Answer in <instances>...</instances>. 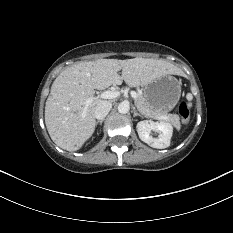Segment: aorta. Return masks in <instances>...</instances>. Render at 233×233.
I'll use <instances>...</instances> for the list:
<instances>
[{
  "mask_svg": "<svg viewBox=\"0 0 233 233\" xmlns=\"http://www.w3.org/2000/svg\"><path fill=\"white\" fill-rule=\"evenodd\" d=\"M129 104L128 102H121L119 105H118V112L121 113V114H126L129 112Z\"/></svg>",
  "mask_w": 233,
  "mask_h": 233,
  "instance_id": "762f6f07",
  "label": "aorta"
}]
</instances>
